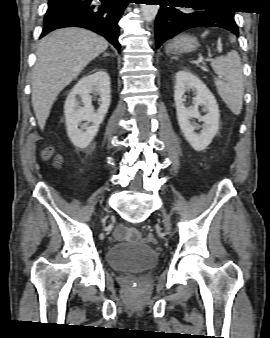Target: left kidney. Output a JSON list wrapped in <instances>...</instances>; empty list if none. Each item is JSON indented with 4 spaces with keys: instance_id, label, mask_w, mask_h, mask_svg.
I'll return each mask as SVG.
<instances>
[{
    "instance_id": "left-kidney-1",
    "label": "left kidney",
    "mask_w": 270,
    "mask_h": 338,
    "mask_svg": "<svg viewBox=\"0 0 270 338\" xmlns=\"http://www.w3.org/2000/svg\"><path fill=\"white\" fill-rule=\"evenodd\" d=\"M194 89L196 97L194 106L187 108L183 104V95L187 90ZM174 101L176 104L177 118L184 137L196 151H202L212 142L219 129V109L215 97L206 85L189 70H180L176 73L174 87ZM202 105L206 114L201 116L198 106ZM196 118L204 122L200 134L195 133L196 124L190 120Z\"/></svg>"
}]
</instances>
